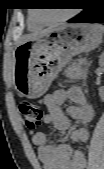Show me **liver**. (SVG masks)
<instances>
[{"label": "liver", "instance_id": "liver-1", "mask_svg": "<svg viewBox=\"0 0 104 169\" xmlns=\"http://www.w3.org/2000/svg\"><path fill=\"white\" fill-rule=\"evenodd\" d=\"M48 30H50V29H46V30L41 31V32H38V33H33V34H30V35H27V36L23 37V39L21 40L20 43H23V42H25V41H27V40H30V39H32V38H35V37H37V36H39V35L45 33V32L48 31Z\"/></svg>", "mask_w": 104, "mask_h": 169}]
</instances>
